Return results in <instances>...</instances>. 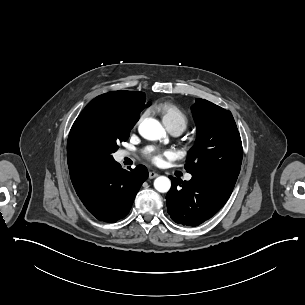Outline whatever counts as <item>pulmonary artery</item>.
<instances>
[{
	"label": "pulmonary artery",
	"instance_id": "pulmonary-artery-1",
	"mask_svg": "<svg viewBox=\"0 0 305 305\" xmlns=\"http://www.w3.org/2000/svg\"><path fill=\"white\" fill-rule=\"evenodd\" d=\"M167 129L174 136H178V135L182 134V132L184 131V129L181 126H170V127H167ZM127 156H129L128 153L122 154V158L127 157ZM191 179H192L191 174L185 175V180L190 181Z\"/></svg>",
	"mask_w": 305,
	"mask_h": 305
}]
</instances>
